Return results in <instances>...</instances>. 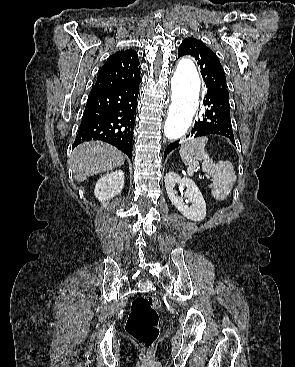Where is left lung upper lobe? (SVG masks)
I'll return each instance as SVG.
<instances>
[{
  "instance_id": "obj_1",
  "label": "left lung upper lobe",
  "mask_w": 295,
  "mask_h": 367,
  "mask_svg": "<svg viewBox=\"0 0 295 367\" xmlns=\"http://www.w3.org/2000/svg\"><path fill=\"white\" fill-rule=\"evenodd\" d=\"M191 55L198 60L203 80L208 86L227 90L226 76L216 54L203 42L195 38H186L178 48V57Z\"/></svg>"
}]
</instances>
